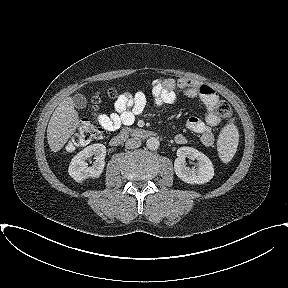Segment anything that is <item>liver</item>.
<instances>
[{"label":"liver","instance_id":"liver-1","mask_svg":"<svg viewBox=\"0 0 288 288\" xmlns=\"http://www.w3.org/2000/svg\"><path fill=\"white\" fill-rule=\"evenodd\" d=\"M79 124L78 112L73 99L66 97L53 112L47 128V140L53 152L60 151L74 134Z\"/></svg>","mask_w":288,"mask_h":288}]
</instances>
